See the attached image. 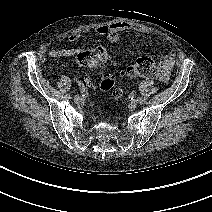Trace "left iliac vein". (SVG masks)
<instances>
[{
    "mask_svg": "<svg viewBox=\"0 0 212 212\" xmlns=\"http://www.w3.org/2000/svg\"><path fill=\"white\" fill-rule=\"evenodd\" d=\"M137 105H138V102L137 101H132L130 104H129V107L131 108V109H135L136 107H137Z\"/></svg>",
    "mask_w": 212,
    "mask_h": 212,
    "instance_id": "obj_1",
    "label": "left iliac vein"
}]
</instances>
